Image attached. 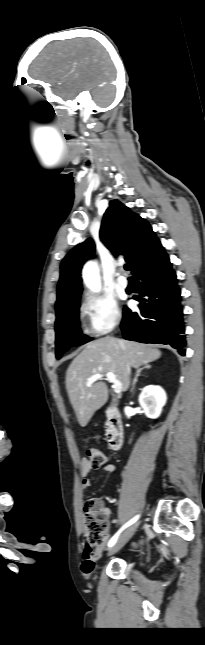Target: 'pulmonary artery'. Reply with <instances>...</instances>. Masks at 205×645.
<instances>
[{
  "mask_svg": "<svg viewBox=\"0 0 205 645\" xmlns=\"http://www.w3.org/2000/svg\"><path fill=\"white\" fill-rule=\"evenodd\" d=\"M117 283L122 288H127L129 284L127 278L122 274L117 276Z\"/></svg>",
  "mask_w": 205,
  "mask_h": 645,
  "instance_id": "e3ab8cb5",
  "label": "pulmonary artery"
}]
</instances>
